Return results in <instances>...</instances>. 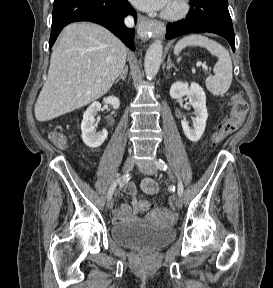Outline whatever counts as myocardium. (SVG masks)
I'll list each match as a JSON object with an SVG mask.
<instances>
[{
  "label": "myocardium",
  "instance_id": "f54148a6",
  "mask_svg": "<svg viewBox=\"0 0 273 288\" xmlns=\"http://www.w3.org/2000/svg\"><path fill=\"white\" fill-rule=\"evenodd\" d=\"M177 3V9L168 10L165 9L162 13V18L170 21H177L184 18L190 11L189 0H175Z\"/></svg>",
  "mask_w": 273,
  "mask_h": 288
}]
</instances>
